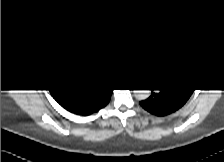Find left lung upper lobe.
<instances>
[{
  "label": "left lung upper lobe",
  "instance_id": "obj_1",
  "mask_svg": "<svg viewBox=\"0 0 224 162\" xmlns=\"http://www.w3.org/2000/svg\"><path fill=\"white\" fill-rule=\"evenodd\" d=\"M188 82L185 79H182L180 76L177 75H173L166 83L167 86H174V87H182L183 90H187V88H189V86H187ZM193 86L190 89L189 92L193 91Z\"/></svg>",
  "mask_w": 224,
  "mask_h": 162
}]
</instances>
